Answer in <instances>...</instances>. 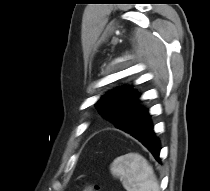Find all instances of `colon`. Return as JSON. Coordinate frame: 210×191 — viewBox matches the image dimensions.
Masks as SVG:
<instances>
[{"label": "colon", "mask_w": 210, "mask_h": 191, "mask_svg": "<svg viewBox=\"0 0 210 191\" xmlns=\"http://www.w3.org/2000/svg\"><path fill=\"white\" fill-rule=\"evenodd\" d=\"M83 191H100V188L98 185H86Z\"/></svg>", "instance_id": "5ec220e1"}]
</instances>
